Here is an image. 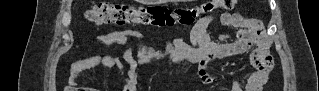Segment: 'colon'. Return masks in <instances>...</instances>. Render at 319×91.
<instances>
[{
  "label": "colon",
  "instance_id": "colon-1",
  "mask_svg": "<svg viewBox=\"0 0 319 91\" xmlns=\"http://www.w3.org/2000/svg\"><path fill=\"white\" fill-rule=\"evenodd\" d=\"M236 0H216L193 7H136L119 3H98L85 12V19L95 25H150L154 27L190 26L201 16L217 9H231ZM257 63L267 70L273 65L268 48L261 52Z\"/></svg>",
  "mask_w": 319,
  "mask_h": 91
}]
</instances>
